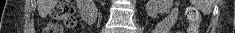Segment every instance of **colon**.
<instances>
[{
    "label": "colon",
    "instance_id": "1",
    "mask_svg": "<svg viewBox=\"0 0 235 33\" xmlns=\"http://www.w3.org/2000/svg\"><path fill=\"white\" fill-rule=\"evenodd\" d=\"M51 17L54 21L61 22L66 27H73L75 24L74 10L69 0H60L53 7ZM186 17L189 20V32L197 33L200 14L198 10L190 6L186 10ZM62 26L57 23H50L45 29V33H60Z\"/></svg>",
    "mask_w": 235,
    "mask_h": 33
}]
</instances>
